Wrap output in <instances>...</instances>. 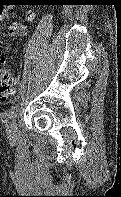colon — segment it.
<instances>
[{
	"label": "colon",
	"instance_id": "obj_1",
	"mask_svg": "<svg viewBox=\"0 0 121 197\" xmlns=\"http://www.w3.org/2000/svg\"><path fill=\"white\" fill-rule=\"evenodd\" d=\"M33 14L28 12L26 19L32 20ZM25 26L21 23H13L9 28L10 40L5 48L7 52L11 51L19 37L24 34ZM14 77L7 66V61L4 57H0V104L5 103L14 94Z\"/></svg>",
	"mask_w": 121,
	"mask_h": 197
}]
</instances>
